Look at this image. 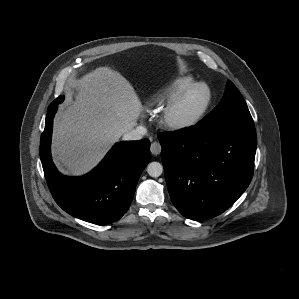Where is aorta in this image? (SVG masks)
Segmentation results:
<instances>
[{
	"instance_id": "1",
	"label": "aorta",
	"mask_w": 299,
	"mask_h": 299,
	"mask_svg": "<svg viewBox=\"0 0 299 299\" xmlns=\"http://www.w3.org/2000/svg\"><path fill=\"white\" fill-rule=\"evenodd\" d=\"M147 172L151 177H159L163 172V166L159 162H151L147 166Z\"/></svg>"
}]
</instances>
